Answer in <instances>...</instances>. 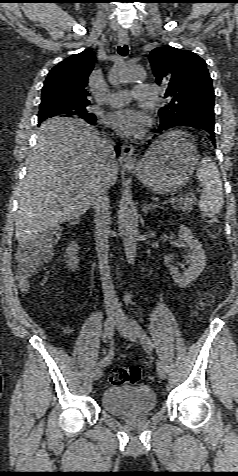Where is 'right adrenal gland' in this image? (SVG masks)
I'll return each instance as SVG.
<instances>
[{
	"instance_id": "right-adrenal-gland-1",
	"label": "right adrenal gland",
	"mask_w": 238,
	"mask_h": 476,
	"mask_svg": "<svg viewBox=\"0 0 238 476\" xmlns=\"http://www.w3.org/2000/svg\"><path fill=\"white\" fill-rule=\"evenodd\" d=\"M101 202H102V204L108 203V196H107V195H104V196L101 198Z\"/></svg>"
}]
</instances>
